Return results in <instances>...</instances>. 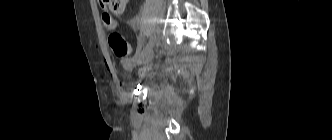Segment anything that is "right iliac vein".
<instances>
[{"mask_svg": "<svg viewBox=\"0 0 332 140\" xmlns=\"http://www.w3.org/2000/svg\"><path fill=\"white\" fill-rule=\"evenodd\" d=\"M154 44H155V37L152 36L149 42L147 43L145 49L143 50L141 56L138 58L137 60L138 64H146L151 60Z\"/></svg>", "mask_w": 332, "mask_h": 140, "instance_id": "right-iliac-vein-1", "label": "right iliac vein"}]
</instances>
